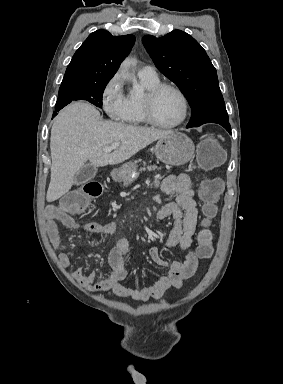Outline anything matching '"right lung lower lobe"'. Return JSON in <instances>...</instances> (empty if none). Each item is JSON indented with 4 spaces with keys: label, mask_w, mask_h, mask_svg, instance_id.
<instances>
[{
    "label": "right lung lower lobe",
    "mask_w": 283,
    "mask_h": 384,
    "mask_svg": "<svg viewBox=\"0 0 283 384\" xmlns=\"http://www.w3.org/2000/svg\"><path fill=\"white\" fill-rule=\"evenodd\" d=\"M59 110H60V109H59ZM59 110H58V109H56V111H59ZM56 115H57V113H56V112H54V113H53V117H54V116H56Z\"/></svg>",
    "instance_id": "1"
}]
</instances>
